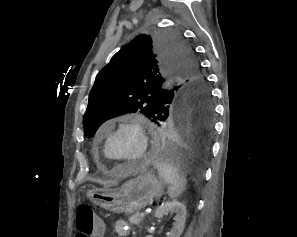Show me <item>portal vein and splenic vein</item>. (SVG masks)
<instances>
[{"label":"portal vein and splenic vein","instance_id":"obj_1","mask_svg":"<svg viewBox=\"0 0 297 237\" xmlns=\"http://www.w3.org/2000/svg\"><path fill=\"white\" fill-rule=\"evenodd\" d=\"M141 216H145V213H141Z\"/></svg>","mask_w":297,"mask_h":237}]
</instances>
